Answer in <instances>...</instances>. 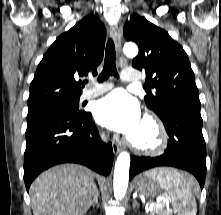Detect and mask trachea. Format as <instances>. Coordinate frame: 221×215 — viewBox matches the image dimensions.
<instances>
[{
  "instance_id": "3493384b",
  "label": "trachea",
  "mask_w": 221,
  "mask_h": 215,
  "mask_svg": "<svg viewBox=\"0 0 221 215\" xmlns=\"http://www.w3.org/2000/svg\"><path fill=\"white\" fill-rule=\"evenodd\" d=\"M115 59H116L115 45L113 40L109 39L105 50V61H104L103 71L98 77L99 82L107 80L110 75L119 78L115 66Z\"/></svg>"
}]
</instances>
